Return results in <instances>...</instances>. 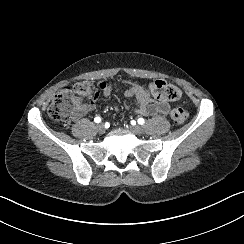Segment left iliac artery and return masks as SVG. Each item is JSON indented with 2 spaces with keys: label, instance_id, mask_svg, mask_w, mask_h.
<instances>
[{
  "label": "left iliac artery",
  "instance_id": "44dca946",
  "mask_svg": "<svg viewBox=\"0 0 244 244\" xmlns=\"http://www.w3.org/2000/svg\"><path fill=\"white\" fill-rule=\"evenodd\" d=\"M144 122H145V121H144L143 118H139V119H138V123H139L140 125L144 124Z\"/></svg>",
  "mask_w": 244,
  "mask_h": 244
}]
</instances>
